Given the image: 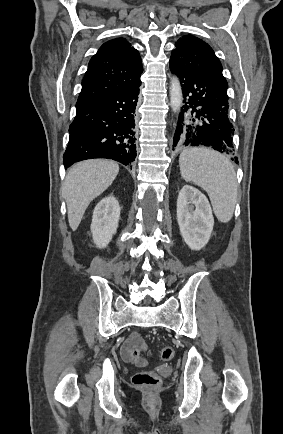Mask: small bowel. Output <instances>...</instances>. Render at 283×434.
Wrapping results in <instances>:
<instances>
[{
    "label": "small bowel",
    "mask_w": 283,
    "mask_h": 434,
    "mask_svg": "<svg viewBox=\"0 0 283 434\" xmlns=\"http://www.w3.org/2000/svg\"><path fill=\"white\" fill-rule=\"evenodd\" d=\"M132 349H145V344L138 333H133L127 338V340L122 345L121 354L123 358L127 361H131L138 365H144L146 363V360L142 357H133Z\"/></svg>",
    "instance_id": "1"
}]
</instances>
